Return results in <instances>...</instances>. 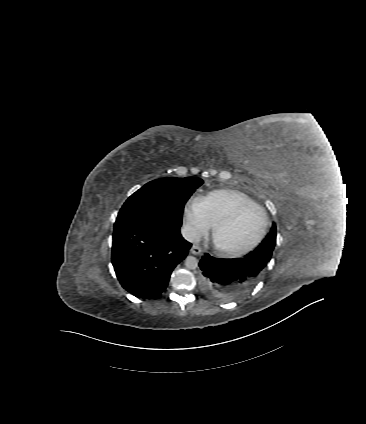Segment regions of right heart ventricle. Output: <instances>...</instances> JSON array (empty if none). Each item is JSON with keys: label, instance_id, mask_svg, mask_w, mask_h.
<instances>
[{"label": "right heart ventricle", "instance_id": "e07e8e85", "mask_svg": "<svg viewBox=\"0 0 366 424\" xmlns=\"http://www.w3.org/2000/svg\"><path fill=\"white\" fill-rule=\"evenodd\" d=\"M246 203L256 202L244 192L234 189L214 190L203 198L204 210L211 225H214L235 207Z\"/></svg>", "mask_w": 366, "mask_h": 424}]
</instances>
